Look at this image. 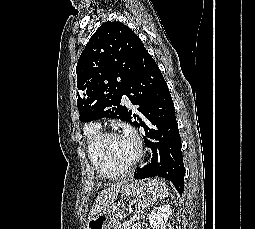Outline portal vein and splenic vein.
Segmentation results:
<instances>
[{"label": "portal vein and splenic vein", "instance_id": "portal-vein-and-splenic-vein-1", "mask_svg": "<svg viewBox=\"0 0 255 229\" xmlns=\"http://www.w3.org/2000/svg\"><path fill=\"white\" fill-rule=\"evenodd\" d=\"M130 224H132V221L123 223L124 226H129Z\"/></svg>", "mask_w": 255, "mask_h": 229}]
</instances>
